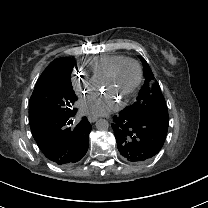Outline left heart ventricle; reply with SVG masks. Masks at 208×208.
Wrapping results in <instances>:
<instances>
[{
  "label": "left heart ventricle",
  "instance_id": "left-heart-ventricle-1",
  "mask_svg": "<svg viewBox=\"0 0 208 208\" xmlns=\"http://www.w3.org/2000/svg\"><path fill=\"white\" fill-rule=\"evenodd\" d=\"M136 75L137 72L135 66L130 62H125L118 68L112 83L106 86H110L115 94H118L121 98H124L134 85L136 81ZM98 87L99 86L97 84L95 90H97ZM92 97L94 99H99L96 93H93ZM111 98L112 97L104 99V101L109 102Z\"/></svg>",
  "mask_w": 208,
  "mask_h": 208
}]
</instances>
